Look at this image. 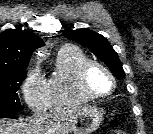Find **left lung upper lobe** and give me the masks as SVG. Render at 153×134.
<instances>
[{"label":"left lung upper lobe","mask_w":153,"mask_h":134,"mask_svg":"<svg viewBox=\"0 0 153 134\" xmlns=\"http://www.w3.org/2000/svg\"><path fill=\"white\" fill-rule=\"evenodd\" d=\"M63 35L73 41L87 47L99 57L119 79L124 78L125 72L115 50L108 40L101 34L89 29L65 30Z\"/></svg>","instance_id":"obj_1"}]
</instances>
